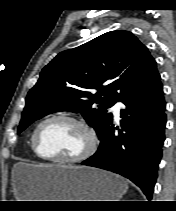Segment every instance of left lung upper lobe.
Returning a JSON list of instances; mask_svg holds the SVG:
<instances>
[{"label": "left lung upper lobe", "instance_id": "obj_1", "mask_svg": "<svg viewBox=\"0 0 176 211\" xmlns=\"http://www.w3.org/2000/svg\"><path fill=\"white\" fill-rule=\"evenodd\" d=\"M159 77L154 58L131 32H107L59 53L43 68L28 92L17 132L48 114L72 111L82 113L101 139L112 121L107 108Z\"/></svg>", "mask_w": 176, "mask_h": 211}]
</instances>
